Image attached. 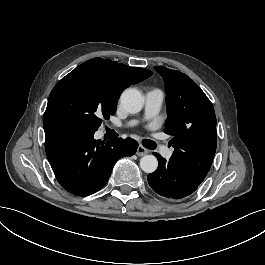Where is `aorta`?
<instances>
[{"label":"aorta","mask_w":265,"mask_h":265,"mask_svg":"<svg viewBox=\"0 0 265 265\" xmlns=\"http://www.w3.org/2000/svg\"><path fill=\"white\" fill-rule=\"evenodd\" d=\"M120 104L127 112L135 114L141 111L144 97L139 90L128 88L121 94ZM140 167L145 173H153L158 167L157 158L154 155L143 156L140 159Z\"/></svg>","instance_id":"762f6f07"}]
</instances>
